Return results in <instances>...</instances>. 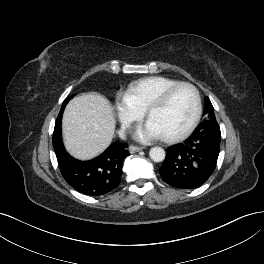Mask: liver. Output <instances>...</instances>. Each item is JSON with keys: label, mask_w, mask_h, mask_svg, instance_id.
Segmentation results:
<instances>
[{"label": "liver", "mask_w": 264, "mask_h": 264, "mask_svg": "<svg viewBox=\"0 0 264 264\" xmlns=\"http://www.w3.org/2000/svg\"><path fill=\"white\" fill-rule=\"evenodd\" d=\"M116 127L109 101L96 93L82 94L66 106L62 118L64 145L74 157L91 159L112 142Z\"/></svg>", "instance_id": "liver-1"}]
</instances>
